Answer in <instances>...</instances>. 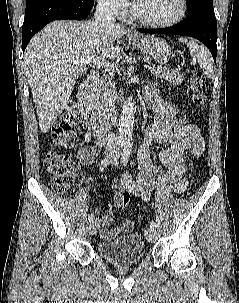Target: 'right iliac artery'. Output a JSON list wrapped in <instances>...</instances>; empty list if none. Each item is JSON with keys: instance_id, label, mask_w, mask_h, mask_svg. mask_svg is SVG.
<instances>
[{"instance_id": "1", "label": "right iliac artery", "mask_w": 239, "mask_h": 303, "mask_svg": "<svg viewBox=\"0 0 239 303\" xmlns=\"http://www.w3.org/2000/svg\"><path fill=\"white\" fill-rule=\"evenodd\" d=\"M118 145H119V147H120V146H123L124 143H123V142H119ZM109 163H110V158H109V157H105V158H103V159L101 160V165H102L103 167H106L107 165H109ZM94 218H95V217H94V214H91V215H89V217H88V219H89L90 222H92V221L94 220Z\"/></svg>"}]
</instances>
